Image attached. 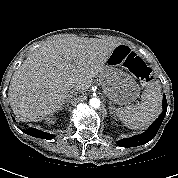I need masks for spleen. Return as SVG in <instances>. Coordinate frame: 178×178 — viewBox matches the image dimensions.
Masks as SVG:
<instances>
[{
    "mask_svg": "<svg viewBox=\"0 0 178 178\" xmlns=\"http://www.w3.org/2000/svg\"><path fill=\"white\" fill-rule=\"evenodd\" d=\"M161 85L159 81H151L141 95V102L115 110L123 124L132 129L148 126L159 113L161 105Z\"/></svg>",
    "mask_w": 178,
    "mask_h": 178,
    "instance_id": "3e777b00",
    "label": "spleen"
}]
</instances>
